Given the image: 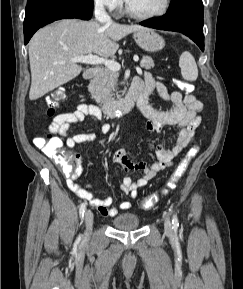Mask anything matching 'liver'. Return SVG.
<instances>
[{
	"mask_svg": "<svg viewBox=\"0 0 243 289\" xmlns=\"http://www.w3.org/2000/svg\"><path fill=\"white\" fill-rule=\"evenodd\" d=\"M140 25L64 19L39 29L28 44L31 70L29 99L36 100L77 77L82 67L70 61L75 56L95 53L112 57L120 39L138 30Z\"/></svg>",
	"mask_w": 243,
	"mask_h": 289,
	"instance_id": "1",
	"label": "liver"
}]
</instances>
